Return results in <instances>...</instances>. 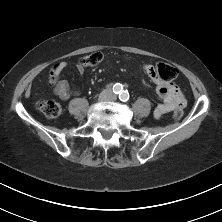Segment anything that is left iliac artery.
I'll use <instances>...</instances> for the list:
<instances>
[{"label":"left iliac artery","instance_id":"44dca946","mask_svg":"<svg viewBox=\"0 0 222 222\" xmlns=\"http://www.w3.org/2000/svg\"><path fill=\"white\" fill-rule=\"evenodd\" d=\"M119 99L122 101V102H126L128 101L129 99V93L128 91H122L120 94H119Z\"/></svg>","mask_w":222,"mask_h":222}]
</instances>
